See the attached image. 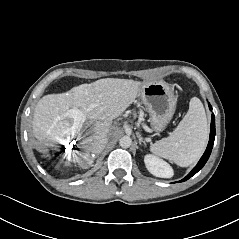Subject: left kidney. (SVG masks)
<instances>
[{"instance_id":"5707ae66","label":"left kidney","mask_w":239,"mask_h":239,"mask_svg":"<svg viewBox=\"0 0 239 239\" xmlns=\"http://www.w3.org/2000/svg\"><path fill=\"white\" fill-rule=\"evenodd\" d=\"M144 162L148 171L156 177L171 178L174 174L168 163L151 154L144 157Z\"/></svg>"}]
</instances>
